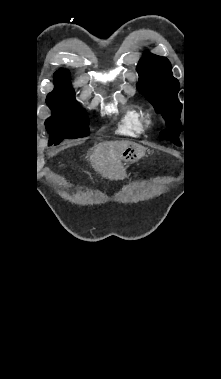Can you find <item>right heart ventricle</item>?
Masks as SVG:
<instances>
[{
    "mask_svg": "<svg viewBox=\"0 0 221 379\" xmlns=\"http://www.w3.org/2000/svg\"><path fill=\"white\" fill-rule=\"evenodd\" d=\"M117 133L138 137L145 132V116L134 108L125 110L124 114L117 123Z\"/></svg>",
    "mask_w": 221,
    "mask_h": 379,
    "instance_id": "1",
    "label": "right heart ventricle"
}]
</instances>
